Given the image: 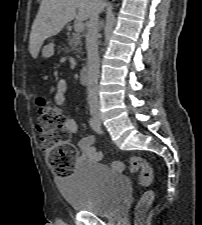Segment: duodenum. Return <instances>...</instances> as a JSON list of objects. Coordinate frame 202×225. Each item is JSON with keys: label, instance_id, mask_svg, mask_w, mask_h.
<instances>
[{"label": "duodenum", "instance_id": "1", "mask_svg": "<svg viewBox=\"0 0 202 225\" xmlns=\"http://www.w3.org/2000/svg\"><path fill=\"white\" fill-rule=\"evenodd\" d=\"M81 79L85 84L89 83L90 67L87 64L83 65L82 68H81Z\"/></svg>", "mask_w": 202, "mask_h": 225}]
</instances>
